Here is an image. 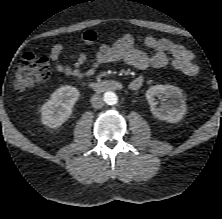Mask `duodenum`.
Instances as JSON below:
<instances>
[{"label":"duodenum","mask_w":222,"mask_h":219,"mask_svg":"<svg viewBox=\"0 0 222 219\" xmlns=\"http://www.w3.org/2000/svg\"><path fill=\"white\" fill-rule=\"evenodd\" d=\"M142 83L140 81H133L129 84V88L132 90H137L141 87ZM89 86L96 91H106V90H120L123 88L121 82L116 80H106L99 82H91Z\"/></svg>","instance_id":"1"}]
</instances>
